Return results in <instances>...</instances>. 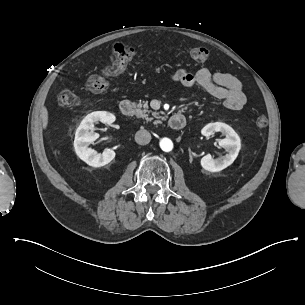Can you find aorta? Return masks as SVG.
I'll return each instance as SVG.
<instances>
[{
    "mask_svg": "<svg viewBox=\"0 0 305 305\" xmlns=\"http://www.w3.org/2000/svg\"><path fill=\"white\" fill-rule=\"evenodd\" d=\"M159 144L160 148L165 152H170L173 149V143L169 138H162Z\"/></svg>",
    "mask_w": 305,
    "mask_h": 305,
    "instance_id": "762f6f07",
    "label": "aorta"
}]
</instances>
